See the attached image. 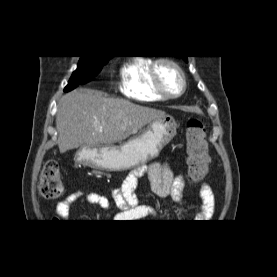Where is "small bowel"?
I'll list each match as a JSON object with an SVG mask.
<instances>
[{"instance_id": "c3829d8e", "label": "small bowel", "mask_w": 277, "mask_h": 277, "mask_svg": "<svg viewBox=\"0 0 277 277\" xmlns=\"http://www.w3.org/2000/svg\"><path fill=\"white\" fill-rule=\"evenodd\" d=\"M147 174L152 191L160 197H171L176 203L184 201L185 182L182 175H174L168 163L155 162L133 170L124 180L121 188L109 192V196L96 192L75 191L60 201L55 209L53 220H66L70 216L71 206L74 203H88L102 210H109L112 203L120 210L116 215L123 222H136L146 217L156 215V210L149 205L141 204L135 194L138 180ZM201 202L196 205L192 215L196 220L211 218L215 198L212 189L206 183L200 188Z\"/></svg>"}]
</instances>
